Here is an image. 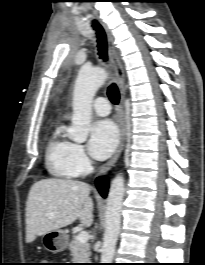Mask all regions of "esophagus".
Here are the masks:
<instances>
[{
    "mask_svg": "<svg viewBox=\"0 0 205 265\" xmlns=\"http://www.w3.org/2000/svg\"><path fill=\"white\" fill-rule=\"evenodd\" d=\"M101 23L107 36L108 52L115 71L116 83L120 92V100L117 106V122L120 131V139L115 153L113 154L111 159L103 166L100 172V174H105L115 165L125 145V138H126L125 119H124L125 70L119 52L115 46L114 37L110 29L105 23L103 22Z\"/></svg>",
    "mask_w": 205,
    "mask_h": 265,
    "instance_id": "obj_1",
    "label": "esophagus"
}]
</instances>
